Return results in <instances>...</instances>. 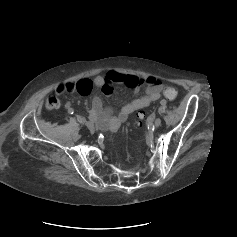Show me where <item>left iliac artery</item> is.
Wrapping results in <instances>:
<instances>
[{
    "mask_svg": "<svg viewBox=\"0 0 237 237\" xmlns=\"http://www.w3.org/2000/svg\"><path fill=\"white\" fill-rule=\"evenodd\" d=\"M167 102H166V100L165 99H162L161 101H160V104L161 105H165Z\"/></svg>",
    "mask_w": 237,
    "mask_h": 237,
    "instance_id": "1",
    "label": "left iliac artery"
}]
</instances>
